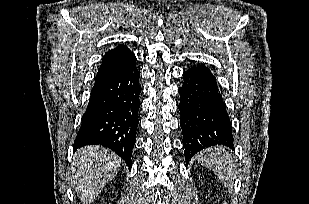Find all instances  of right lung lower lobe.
I'll use <instances>...</instances> for the list:
<instances>
[{
  "mask_svg": "<svg viewBox=\"0 0 309 204\" xmlns=\"http://www.w3.org/2000/svg\"><path fill=\"white\" fill-rule=\"evenodd\" d=\"M140 73L136 65L95 82L82 116L74 150L102 145L131 166L140 107Z\"/></svg>",
  "mask_w": 309,
  "mask_h": 204,
  "instance_id": "obj_1",
  "label": "right lung lower lobe"
}]
</instances>
